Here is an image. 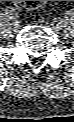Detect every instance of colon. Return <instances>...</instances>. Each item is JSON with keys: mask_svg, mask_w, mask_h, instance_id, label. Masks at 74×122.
Segmentation results:
<instances>
[{"mask_svg": "<svg viewBox=\"0 0 74 122\" xmlns=\"http://www.w3.org/2000/svg\"><path fill=\"white\" fill-rule=\"evenodd\" d=\"M43 2H45V1H21V3L24 6L30 7V8H36V7L40 6Z\"/></svg>", "mask_w": 74, "mask_h": 122, "instance_id": "5ec220e1", "label": "colon"}]
</instances>
